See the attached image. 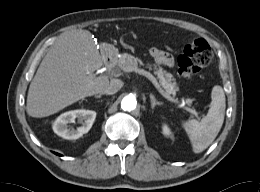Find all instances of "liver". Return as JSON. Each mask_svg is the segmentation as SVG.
<instances>
[{"label": "liver", "instance_id": "obj_1", "mask_svg": "<svg viewBox=\"0 0 260 192\" xmlns=\"http://www.w3.org/2000/svg\"><path fill=\"white\" fill-rule=\"evenodd\" d=\"M103 60L89 31L63 34L47 52L30 83L27 113L35 118L47 117L101 93L109 79L94 72L101 68Z\"/></svg>", "mask_w": 260, "mask_h": 192}]
</instances>
